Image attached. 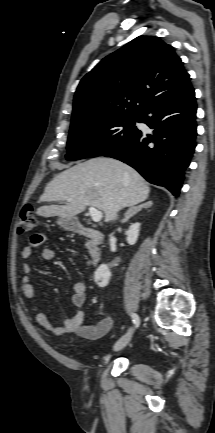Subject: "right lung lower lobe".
<instances>
[{"label": "right lung lower lobe", "mask_w": 215, "mask_h": 433, "mask_svg": "<svg viewBox=\"0 0 215 433\" xmlns=\"http://www.w3.org/2000/svg\"><path fill=\"white\" fill-rule=\"evenodd\" d=\"M196 98L191 83L153 103L141 122L154 134L141 131L128 143L105 154L135 168L147 181L178 196L196 147Z\"/></svg>", "instance_id": "obj_1"}]
</instances>
